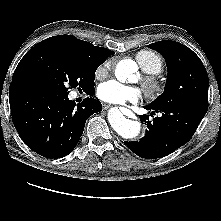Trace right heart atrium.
<instances>
[{
    "mask_svg": "<svg viewBox=\"0 0 221 221\" xmlns=\"http://www.w3.org/2000/svg\"><path fill=\"white\" fill-rule=\"evenodd\" d=\"M112 65V62L110 60L105 61L99 68L97 69L96 74L98 76H103L107 73L108 70H110Z\"/></svg>",
    "mask_w": 221,
    "mask_h": 221,
    "instance_id": "obj_1",
    "label": "right heart atrium"
}]
</instances>
